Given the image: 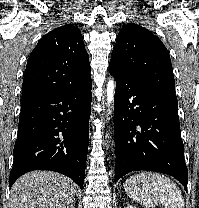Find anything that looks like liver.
<instances>
[{"instance_id":"obj_1","label":"liver","mask_w":199,"mask_h":208,"mask_svg":"<svg viewBox=\"0 0 199 208\" xmlns=\"http://www.w3.org/2000/svg\"><path fill=\"white\" fill-rule=\"evenodd\" d=\"M76 193L70 178L51 171H32L12 186L10 208H67Z\"/></svg>"}]
</instances>
